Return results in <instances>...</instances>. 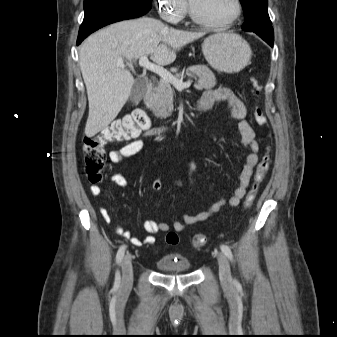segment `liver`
Returning a JSON list of instances; mask_svg holds the SVG:
<instances>
[{
    "label": "liver",
    "mask_w": 337,
    "mask_h": 337,
    "mask_svg": "<svg viewBox=\"0 0 337 337\" xmlns=\"http://www.w3.org/2000/svg\"><path fill=\"white\" fill-rule=\"evenodd\" d=\"M202 36L149 17L121 21L89 36L79 55L89 102L86 136L106 128L130 96L135 81L128 70L117 67L118 60L150 56L156 64L168 65L175 61L177 50Z\"/></svg>",
    "instance_id": "6515ba94"
}]
</instances>
